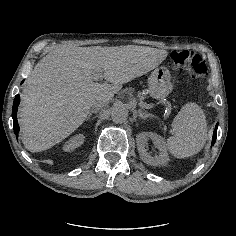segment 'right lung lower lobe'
<instances>
[{"label": "right lung lower lobe", "mask_w": 236, "mask_h": 236, "mask_svg": "<svg viewBox=\"0 0 236 236\" xmlns=\"http://www.w3.org/2000/svg\"><path fill=\"white\" fill-rule=\"evenodd\" d=\"M19 103H20V97L19 95H16L13 102L12 118H13L14 133L17 138H18V133H19V125L17 121V109H18Z\"/></svg>", "instance_id": "98d812e1"}]
</instances>
